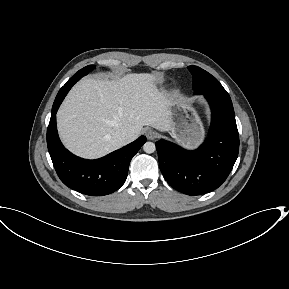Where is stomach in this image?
<instances>
[{
    "mask_svg": "<svg viewBox=\"0 0 289 289\" xmlns=\"http://www.w3.org/2000/svg\"><path fill=\"white\" fill-rule=\"evenodd\" d=\"M171 128L173 139L186 148L196 147L204 137V127L195 109L180 98H171Z\"/></svg>",
    "mask_w": 289,
    "mask_h": 289,
    "instance_id": "stomach-1",
    "label": "stomach"
}]
</instances>
